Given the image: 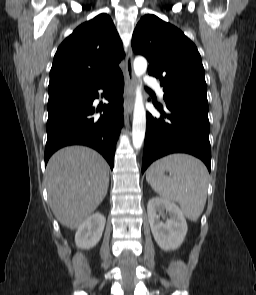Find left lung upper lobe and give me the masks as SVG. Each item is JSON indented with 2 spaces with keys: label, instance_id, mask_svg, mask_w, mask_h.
<instances>
[{
  "label": "left lung upper lobe",
  "instance_id": "5c2ea615",
  "mask_svg": "<svg viewBox=\"0 0 256 295\" xmlns=\"http://www.w3.org/2000/svg\"><path fill=\"white\" fill-rule=\"evenodd\" d=\"M132 48L149 61L148 73L160 79L166 103L208 109L201 56L182 31L155 15H145L134 30Z\"/></svg>",
  "mask_w": 256,
  "mask_h": 295
}]
</instances>
